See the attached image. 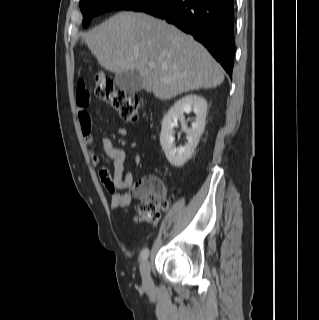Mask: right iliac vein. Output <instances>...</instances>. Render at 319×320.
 I'll use <instances>...</instances> for the list:
<instances>
[{"mask_svg":"<svg viewBox=\"0 0 319 320\" xmlns=\"http://www.w3.org/2000/svg\"><path fill=\"white\" fill-rule=\"evenodd\" d=\"M141 277H142V283L145 288H151L152 287V279L150 276V265L148 261H145L141 265Z\"/></svg>","mask_w":319,"mask_h":320,"instance_id":"right-iliac-vein-1","label":"right iliac vein"}]
</instances>
